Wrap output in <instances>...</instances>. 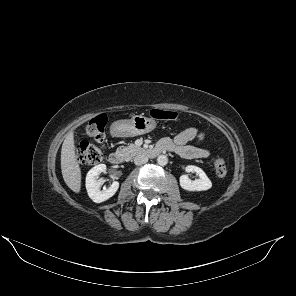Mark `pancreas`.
<instances>
[{"label": "pancreas", "instance_id": "1", "mask_svg": "<svg viewBox=\"0 0 296 296\" xmlns=\"http://www.w3.org/2000/svg\"><path fill=\"white\" fill-rule=\"evenodd\" d=\"M120 153L127 159H131L133 156L143 153L144 149L139 147L133 143L128 144V146L124 147L123 149L119 150Z\"/></svg>", "mask_w": 296, "mask_h": 296}]
</instances>
